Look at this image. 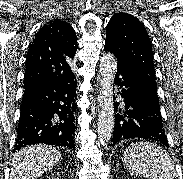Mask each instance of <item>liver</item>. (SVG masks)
<instances>
[{
    "instance_id": "liver-1",
    "label": "liver",
    "mask_w": 183,
    "mask_h": 179,
    "mask_svg": "<svg viewBox=\"0 0 183 179\" xmlns=\"http://www.w3.org/2000/svg\"><path fill=\"white\" fill-rule=\"evenodd\" d=\"M60 157L58 149L44 144L22 148L13 156L9 179H37Z\"/></svg>"
}]
</instances>
